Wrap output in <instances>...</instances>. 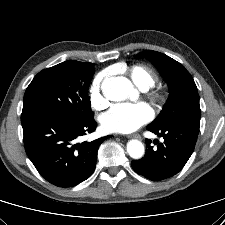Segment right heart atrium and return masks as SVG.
<instances>
[{
  "label": "right heart atrium",
  "instance_id": "1",
  "mask_svg": "<svg viewBox=\"0 0 225 225\" xmlns=\"http://www.w3.org/2000/svg\"><path fill=\"white\" fill-rule=\"evenodd\" d=\"M105 74H98L91 83L90 88V102L95 110H102L108 105V100L106 99L102 91V82Z\"/></svg>",
  "mask_w": 225,
  "mask_h": 225
}]
</instances>
